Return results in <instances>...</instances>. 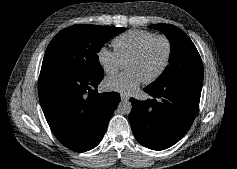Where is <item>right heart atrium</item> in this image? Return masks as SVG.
<instances>
[{
	"instance_id": "1",
	"label": "right heart atrium",
	"mask_w": 237,
	"mask_h": 169,
	"mask_svg": "<svg viewBox=\"0 0 237 169\" xmlns=\"http://www.w3.org/2000/svg\"><path fill=\"white\" fill-rule=\"evenodd\" d=\"M97 60L103 70L108 74L117 72L123 66V61L120 59L115 50H111L106 46H102L97 51Z\"/></svg>"
}]
</instances>
